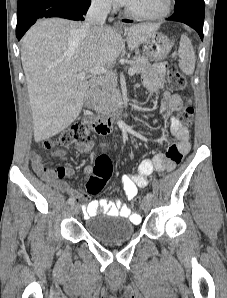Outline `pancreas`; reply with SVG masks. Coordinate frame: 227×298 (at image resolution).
<instances>
[{
	"label": "pancreas",
	"instance_id": "cf45deb5",
	"mask_svg": "<svg viewBox=\"0 0 227 298\" xmlns=\"http://www.w3.org/2000/svg\"><path fill=\"white\" fill-rule=\"evenodd\" d=\"M131 67L136 69L137 74L145 73L151 65L145 56H135L131 61ZM100 87L96 91V105L94 110L101 115H109L115 111L121 103V94L117 89V83L110 79L100 80Z\"/></svg>",
	"mask_w": 227,
	"mask_h": 298
}]
</instances>
